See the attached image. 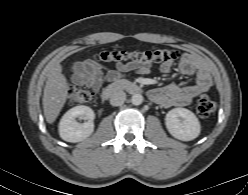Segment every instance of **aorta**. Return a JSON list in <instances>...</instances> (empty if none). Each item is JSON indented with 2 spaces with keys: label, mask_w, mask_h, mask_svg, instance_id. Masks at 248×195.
Masks as SVG:
<instances>
[{
  "label": "aorta",
  "mask_w": 248,
  "mask_h": 195,
  "mask_svg": "<svg viewBox=\"0 0 248 195\" xmlns=\"http://www.w3.org/2000/svg\"><path fill=\"white\" fill-rule=\"evenodd\" d=\"M143 96L141 94H134L131 98V103L135 106L142 104Z\"/></svg>",
  "instance_id": "aorta-1"
}]
</instances>
